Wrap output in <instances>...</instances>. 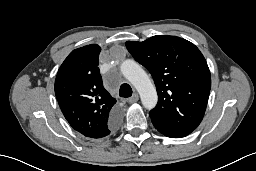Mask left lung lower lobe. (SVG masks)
Instances as JSON below:
<instances>
[{
    "label": "left lung lower lobe",
    "mask_w": 256,
    "mask_h": 171,
    "mask_svg": "<svg viewBox=\"0 0 256 171\" xmlns=\"http://www.w3.org/2000/svg\"><path fill=\"white\" fill-rule=\"evenodd\" d=\"M153 125L155 126V128L161 132L162 134H164L165 136L171 137V138H179L180 136L172 133L169 129H167L166 127H163L161 124H157V123H153Z\"/></svg>",
    "instance_id": "obj_1"
}]
</instances>
